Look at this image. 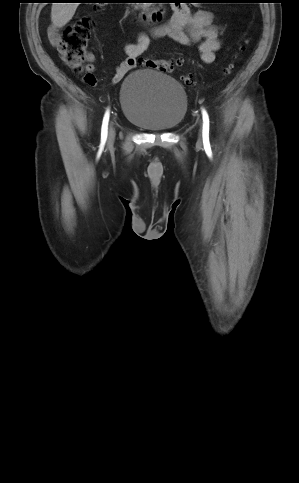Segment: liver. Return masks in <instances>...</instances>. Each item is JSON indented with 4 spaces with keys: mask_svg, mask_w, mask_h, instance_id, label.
Returning <instances> with one entry per match:
<instances>
[{
    "mask_svg": "<svg viewBox=\"0 0 299 483\" xmlns=\"http://www.w3.org/2000/svg\"><path fill=\"white\" fill-rule=\"evenodd\" d=\"M79 3H53L51 8V20L53 24L61 28L65 26L75 14Z\"/></svg>",
    "mask_w": 299,
    "mask_h": 483,
    "instance_id": "6515ba94",
    "label": "liver"
}]
</instances>
